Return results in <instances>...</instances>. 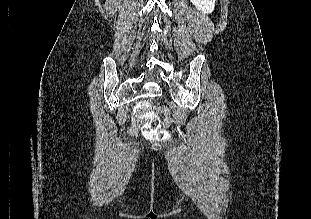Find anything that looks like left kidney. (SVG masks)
<instances>
[{"label": "left kidney", "mask_w": 311, "mask_h": 219, "mask_svg": "<svg viewBox=\"0 0 311 219\" xmlns=\"http://www.w3.org/2000/svg\"><path fill=\"white\" fill-rule=\"evenodd\" d=\"M192 4L203 13H212L216 0H190Z\"/></svg>", "instance_id": "obj_1"}]
</instances>
